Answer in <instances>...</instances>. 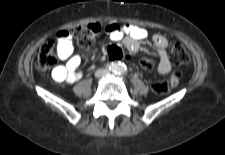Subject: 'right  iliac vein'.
Here are the masks:
<instances>
[{"label":"right iliac vein","instance_id":"1","mask_svg":"<svg viewBox=\"0 0 225 155\" xmlns=\"http://www.w3.org/2000/svg\"><path fill=\"white\" fill-rule=\"evenodd\" d=\"M102 74H103V71H98V72H96L95 76L100 77V76H102Z\"/></svg>","mask_w":225,"mask_h":155}]
</instances>
